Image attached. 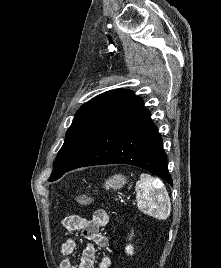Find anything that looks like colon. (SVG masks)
I'll use <instances>...</instances> for the list:
<instances>
[{"instance_id": "5ec220e1", "label": "colon", "mask_w": 221, "mask_h": 268, "mask_svg": "<svg viewBox=\"0 0 221 268\" xmlns=\"http://www.w3.org/2000/svg\"><path fill=\"white\" fill-rule=\"evenodd\" d=\"M75 202L79 205H88L92 202V198L89 196H77Z\"/></svg>"}]
</instances>
